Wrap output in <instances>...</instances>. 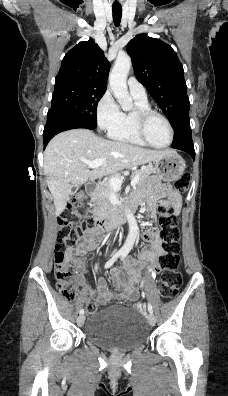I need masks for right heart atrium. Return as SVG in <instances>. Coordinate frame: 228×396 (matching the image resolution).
Listing matches in <instances>:
<instances>
[{
  "instance_id": "1",
  "label": "right heart atrium",
  "mask_w": 228,
  "mask_h": 396,
  "mask_svg": "<svg viewBox=\"0 0 228 396\" xmlns=\"http://www.w3.org/2000/svg\"><path fill=\"white\" fill-rule=\"evenodd\" d=\"M122 119V111L114 100L112 94L106 91L96 105V121L102 131H110Z\"/></svg>"
}]
</instances>
